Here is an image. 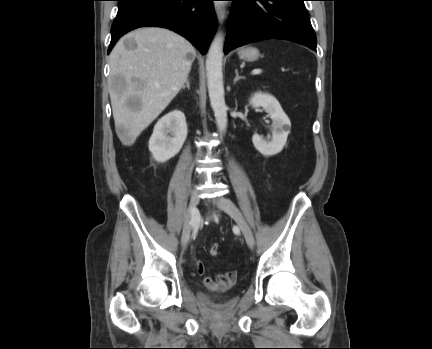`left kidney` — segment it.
<instances>
[{
	"instance_id": "5707ae66",
	"label": "left kidney",
	"mask_w": 432,
	"mask_h": 349,
	"mask_svg": "<svg viewBox=\"0 0 432 349\" xmlns=\"http://www.w3.org/2000/svg\"><path fill=\"white\" fill-rule=\"evenodd\" d=\"M250 104H252L254 108L262 107L273 122L271 139L265 140L258 134H254L252 137L254 147L264 156L278 154L285 146L288 134L291 130V122L288 116L283 111L278 100L268 93H255L250 99Z\"/></svg>"
}]
</instances>
